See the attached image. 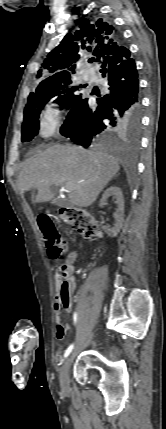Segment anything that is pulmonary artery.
<instances>
[{"instance_id": "1", "label": "pulmonary artery", "mask_w": 166, "mask_h": 429, "mask_svg": "<svg viewBox=\"0 0 166 429\" xmlns=\"http://www.w3.org/2000/svg\"><path fill=\"white\" fill-rule=\"evenodd\" d=\"M86 74H87V79H93L95 76V73L91 70H87Z\"/></svg>"}]
</instances>
